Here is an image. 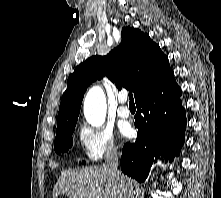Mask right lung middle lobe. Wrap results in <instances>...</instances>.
<instances>
[{"instance_id":"obj_1","label":"right lung middle lobe","mask_w":221,"mask_h":198,"mask_svg":"<svg viewBox=\"0 0 221 198\" xmlns=\"http://www.w3.org/2000/svg\"><path fill=\"white\" fill-rule=\"evenodd\" d=\"M74 129L75 126L65 131L56 133V138L54 142V149L56 153L60 154L62 152H66L72 146L73 140L71 137L73 135Z\"/></svg>"}]
</instances>
